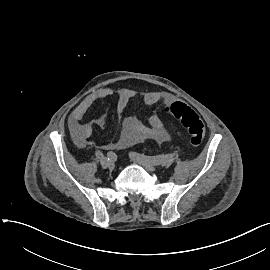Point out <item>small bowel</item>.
<instances>
[{
  "instance_id": "small-bowel-1",
  "label": "small bowel",
  "mask_w": 270,
  "mask_h": 270,
  "mask_svg": "<svg viewBox=\"0 0 270 270\" xmlns=\"http://www.w3.org/2000/svg\"><path fill=\"white\" fill-rule=\"evenodd\" d=\"M113 90L101 88L86 96L81 103L72 111L68 120L69 130L75 140L85 145L93 132V126L103 128L106 121V113H102L93 123L82 122V119L89 108L96 102L110 98ZM132 97L129 90H120L116 101V113L122 116ZM172 95L164 91L148 92L143 97L146 106L156 103H169ZM171 133L166 123L157 115L151 114L147 123L144 124L135 117L127 116L123 118L122 133L116 142L103 145V149H125L132 145L145 141L164 143L170 140Z\"/></svg>"
}]
</instances>
